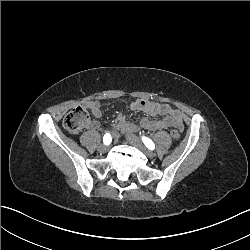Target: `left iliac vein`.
Masks as SVG:
<instances>
[{
	"mask_svg": "<svg viewBox=\"0 0 250 250\" xmlns=\"http://www.w3.org/2000/svg\"><path fill=\"white\" fill-rule=\"evenodd\" d=\"M127 129V128H126ZM127 135V140L135 147L140 149L142 153L147 156L148 158H153V153L140 141L138 137L135 135Z\"/></svg>",
	"mask_w": 250,
	"mask_h": 250,
	"instance_id": "left-iliac-vein-1",
	"label": "left iliac vein"
}]
</instances>
